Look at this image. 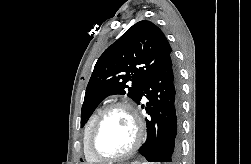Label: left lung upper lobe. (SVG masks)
I'll return each mask as SVG.
<instances>
[{"instance_id": "obj_1", "label": "left lung upper lobe", "mask_w": 251, "mask_h": 164, "mask_svg": "<svg viewBox=\"0 0 251 164\" xmlns=\"http://www.w3.org/2000/svg\"><path fill=\"white\" fill-rule=\"evenodd\" d=\"M171 52L165 35L152 22L143 20L129 28L98 59L87 85L81 123L109 95L128 91V97L139 104L145 82Z\"/></svg>"}]
</instances>
